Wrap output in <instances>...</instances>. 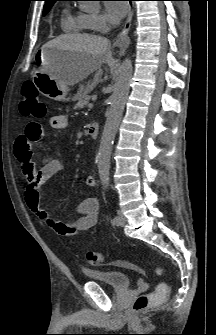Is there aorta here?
Instances as JSON below:
<instances>
[{
	"label": "aorta",
	"instance_id": "762f6f07",
	"mask_svg": "<svg viewBox=\"0 0 216 335\" xmlns=\"http://www.w3.org/2000/svg\"><path fill=\"white\" fill-rule=\"evenodd\" d=\"M132 73V61L126 58L119 67L114 80L113 93L110 96V108L107 113L98 151V172L102 185H108L109 183L110 157L113 141L129 94Z\"/></svg>",
	"mask_w": 216,
	"mask_h": 335
}]
</instances>
